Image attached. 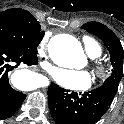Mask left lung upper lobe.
<instances>
[{"mask_svg":"<svg viewBox=\"0 0 124 124\" xmlns=\"http://www.w3.org/2000/svg\"><path fill=\"white\" fill-rule=\"evenodd\" d=\"M82 29L98 36L109 50L113 69L111 75L104 81L102 86H108L114 92H117L118 85L123 74L124 54L119 39L108 27L99 22H88L82 26Z\"/></svg>","mask_w":124,"mask_h":124,"instance_id":"left-lung-upper-lobe-1","label":"left lung upper lobe"}]
</instances>
